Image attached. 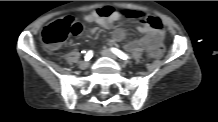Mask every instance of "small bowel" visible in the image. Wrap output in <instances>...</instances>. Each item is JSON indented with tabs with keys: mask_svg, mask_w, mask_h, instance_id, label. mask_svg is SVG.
<instances>
[{
	"mask_svg": "<svg viewBox=\"0 0 218 122\" xmlns=\"http://www.w3.org/2000/svg\"><path fill=\"white\" fill-rule=\"evenodd\" d=\"M123 17H125L124 10H116L111 6H103L86 14L83 19L87 23H96L104 29H110L117 20ZM137 29L143 34V37L128 43L126 46L127 50L136 51L138 49H145L149 56L154 58V51H157L158 46H162L161 44L164 39L162 27L155 28L148 23L140 22ZM96 32V27L91 28L89 31L90 35H95ZM125 36V30L117 28L113 32L112 42L122 41Z\"/></svg>",
	"mask_w": 218,
	"mask_h": 122,
	"instance_id": "obj_1",
	"label": "small bowel"
}]
</instances>
